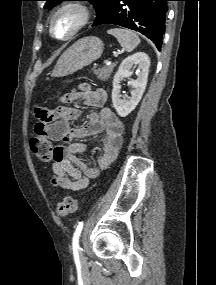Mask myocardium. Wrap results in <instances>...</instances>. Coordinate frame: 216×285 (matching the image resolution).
Masks as SVG:
<instances>
[{
    "instance_id": "f54148a6",
    "label": "myocardium",
    "mask_w": 216,
    "mask_h": 285,
    "mask_svg": "<svg viewBox=\"0 0 216 285\" xmlns=\"http://www.w3.org/2000/svg\"><path fill=\"white\" fill-rule=\"evenodd\" d=\"M66 11H73L78 15V23L76 26L65 36L59 37L54 33L53 25L55 19ZM91 19V11L87 5L81 2H68L57 8L49 19V33L50 35L59 41H69L73 39L79 32H81L89 23Z\"/></svg>"
}]
</instances>
